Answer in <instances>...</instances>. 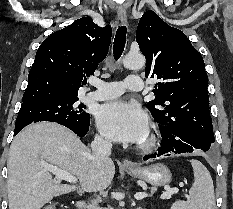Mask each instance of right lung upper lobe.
<instances>
[{
	"instance_id": "right-lung-upper-lobe-1",
	"label": "right lung upper lobe",
	"mask_w": 233,
	"mask_h": 209,
	"mask_svg": "<svg viewBox=\"0 0 233 209\" xmlns=\"http://www.w3.org/2000/svg\"><path fill=\"white\" fill-rule=\"evenodd\" d=\"M111 34L110 25L99 27L88 16L52 33L37 50L23 103L77 98L86 76L93 75L105 59Z\"/></svg>"
}]
</instances>
